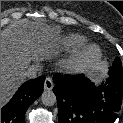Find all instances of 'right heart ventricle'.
I'll return each instance as SVG.
<instances>
[{
  "instance_id": "1",
  "label": "right heart ventricle",
  "mask_w": 123,
  "mask_h": 123,
  "mask_svg": "<svg viewBox=\"0 0 123 123\" xmlns=\"http://www.w3.org/2000/svg\"><path fill=\"white\" fill-rule=\"evenodd\" d=\"M85 39L79 35H69L62 39L60 48L64 52H72L83 46Z\"/></svg>"
}]
</instances>
